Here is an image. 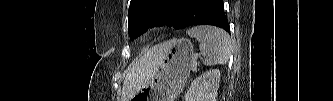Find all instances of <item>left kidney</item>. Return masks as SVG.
Here are the masks:
<instances>
[{
    "label": "left kidney",
    "instance_id": "obj_1",
    "mask_svg": "<svg viewBox=\"0 0 333 101\" xmlns=\"http://www.w3.org/2000/svg\"><path fill=\"white\" fill-rule=\"evenodd\" d=\"M220 75L219 69H210L199 75L192 82L185 101H216Z\"/></svg>",
    "mask_w": 333,
    "mask_h": 101
}]
</instances>
